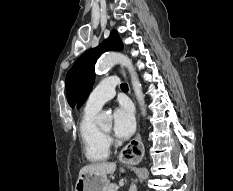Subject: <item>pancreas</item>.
Returning a JSON list of instances; mask_svg holds the SVG:
<instances>
[{
  "instance_id": "pancreas-1",
  "label": "pancreas",
  "mask_w": 233,
  "mask_h": 191,
  "mask_svg": "<svg viewBox=\"0 0 233 191\" xmlns=\"http://www.w3.org/2000/svg\"><path fill=\"white\" fill-rule=\"evenodd\" d=\"M118 186L115 184H110L107 188V191H117Z\"/></svg>"
}]
</instances>
